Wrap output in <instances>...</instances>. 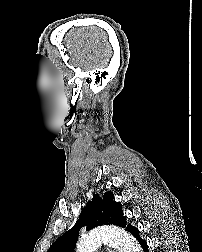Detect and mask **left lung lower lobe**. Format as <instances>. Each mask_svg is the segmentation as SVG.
Here are the masks:
<instances>
[{
    "label": "left lung lower lobe",
    "mask_w": 202,
    "mask_h": 252,
    "mask_svg": "<svg viewBox=\"0 0 202 252\" xmlns=\"http://www.w3.org/2000/svg\"><path fill=\"white\" fill-rule=\"evenodd\" d=\"M127 230L138 240L143 249V252H149L146 241H144L139 235V230L133 226L129 227Z\"/></svg>",
    "instance_id": "left-lung-lower-lobe-1"
}]
</instances>
